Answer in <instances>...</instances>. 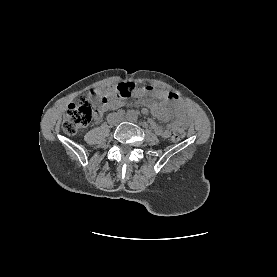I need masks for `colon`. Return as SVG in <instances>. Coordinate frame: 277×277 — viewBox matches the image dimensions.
I'll return each mask as SVG.
<instances>
[{
    "instance_id": "colon-1",
    "label": "colon",
    "mask_w": 277,
    "mask_h": 277,
    "mask_svg": "<svg viewBox=\"0 0 277 277\" xmlns=\"http://www.w3.org/2000/svg\"><path fill=\"white\" fill-rule=\"evenodd\" d=\"M137 88L131 83L120 84L112 96L92 95L90 97H80L77 101L70 104L63 119V130L66 134H76L80 129L86 127L95 109L105 108L112 99H125L131 97ZM185 136V128L181 122H176L172 128V139L182 140Z\"/></svg>"
}]
</instances>
